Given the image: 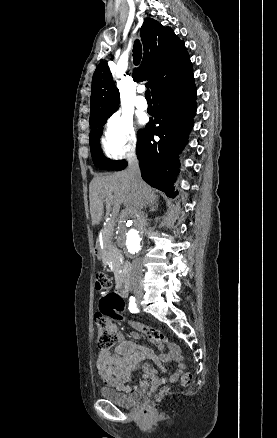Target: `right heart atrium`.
<instances>
[{"label":"right heart atrium","mask_w":277,"mask_h":438,"mask_svg":"<svg viewBox=\"0 0 277 438\" xmlns=\"http://www.w3.org/2000/svg\"><path fill=\"white\" fill-rule=\"evenodd\" d=\"M107 144L116 155H129L137 146V135L130 116L118 111L112 115L105 129Z\"/></svg>","instance_id":"1"}]
</instances>
